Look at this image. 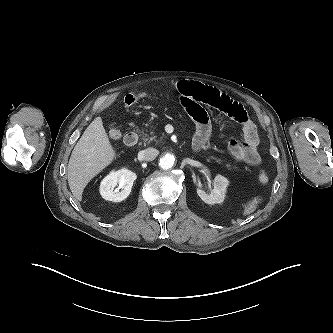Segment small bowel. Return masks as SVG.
Here are the masks:
<instances>
[{
  "mask_svg": "<svg viewBox=\"0 0 333 333\" xmlns=\"http://www.w3.org/2000/svg\"><path fill=\"white\" fill-rule=\"evenodd\" d=\"M182 105L195 123L193 146L203 147L211 135V122L203 105L215 108L242 125L243 141L230 139L228 151L236 160L256 166L260 163L257 128L244 107L216 88L194 81H181L176 85Z\"/></svg>",
  "mask_w": 333,
  "mask_h": 333,
  "instance_id": "c3829d8e",
  "label": "small bowel"
}]
</instances>
